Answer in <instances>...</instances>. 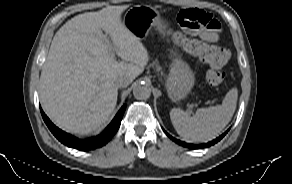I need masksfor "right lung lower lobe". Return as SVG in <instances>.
<instances>
[{
    "label": "right lung lower lobe",
    "mask_w": 292,
    "mask_h": 184,
    "mask_svg": "<svg viewBox=\"0 0 292 184\" xmlns=\"http://www.w3.org/2000/svg\"><path fill=\"white\" fill-rule=\"evenodd\" d=\"M126 108V104H124L121 109L116 114L115 118L112 120V122L107 126V128L98 136L87 139V140H81L76 138L75 136H72L59 128H57L45 115L43 110H41L42 117L50 129V131L53 133V135L63 144L67 145L68 147H72L81 151L86 150H93L95 148H99L103 145H105L117 132V130L120 127V123L124 114Z\"/></svg>",
    "instance_id": "obj_1"
}]
</instances>
